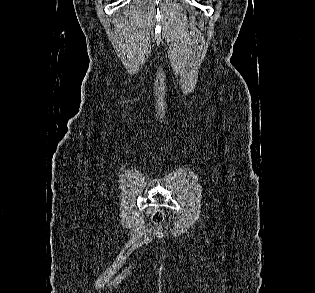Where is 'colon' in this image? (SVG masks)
Masks as SVG:
<instances>
[{"label":"colon","mask_w":315,"mask_h":293,"mask_svg":"<svg viewBox=\"0 0 315 293\" xmlns=\"http://www.w3.org/2000/svg\"><path fill=\"white\" fill-rule=\"evenodd\" d=\"M152 220L156 224H160L164 221L165 215L164 212L159 209L151 210Z\"/></svg>","instance_id":"5ec220e1"}]
</instances>
